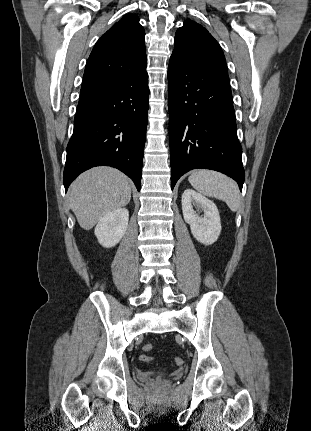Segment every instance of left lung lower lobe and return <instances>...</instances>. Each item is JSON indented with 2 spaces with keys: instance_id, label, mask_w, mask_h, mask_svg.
Here are the masks:
<instances>
[{
  "instance_id": "1",
  "label": "left lung lower lobe",
  "mask_w": 311,
  "mask_h": 431,
  "mask_svg": "<svg viewBox=\"0 0 311 431\" xmlns=\"http://www.w3.org/2000/svg\"><path fill=\"white\" fill-rule=\"evenodd\" d=\"M168 81L171 188L189 170L205 168L230 176L242 191V147L228 75L172 54Z\"/></svg>"
}]
</instances>
